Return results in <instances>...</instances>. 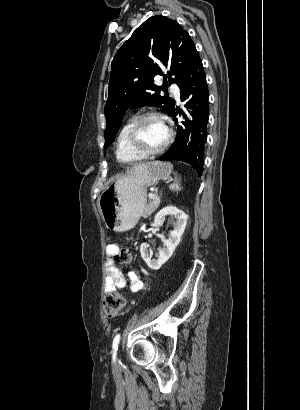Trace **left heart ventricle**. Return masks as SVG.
Listing matches in <instances>:
<instances>
[{
	"mask_svg": "<svg viewBox=\"0 0 300 410\" xmlns=\"http://www.w3.org/2000/svg\"><path fill=\"white\" fill-rule=\"evenodd\" d=\"M167 138V129L162 121L149 119L145 121L139 130V139L145 149L159 148Z\"/></svg>",
	"mask_w": 300,
	"mask_h": 410,
	"instance_id": "b2bd125f",
	"label": "left heart ventricle"
}]
</instances>
